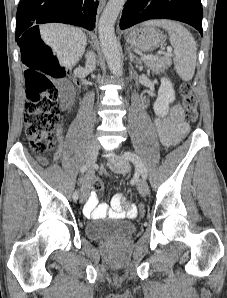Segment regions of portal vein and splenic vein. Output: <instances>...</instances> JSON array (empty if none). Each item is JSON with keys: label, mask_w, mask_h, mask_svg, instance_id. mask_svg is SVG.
<instances>
[{"label": "portal vein and splenic vein", "mask_w": 227, "mask_h": 298, "mask_svg": "<svg viewBox=\"0 0 227 298\" xmlns=\"http://www.w3.org/2000/svg\"><path fill=\"white\" fill-rule=\"evenodd\" d=\"M171 52H172V48L171 47H167V53H171ZM152 59H158V57L157 56H152V55L141 57V60L142 61L152 60Z\"/></svg>", "instance_id": "1"}]
</instances>
